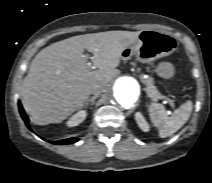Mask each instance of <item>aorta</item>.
<instances>
[{
	"instance_id": "762f6f07",
	"label": "aorta",
	"mask_w": 212,
	"mask_h": 183,
	"mask_svg": "<svg viewBox=\"0 0 212 183\" xmlns=\"http://www.w3.org/2000/svg\"><path fill=\"white\" fill-rule=\"evenodd\" d=\"M139 83L132 77L122 76L116 79L113 86V99L116 105L129 109L140 97Z\"/></svg>"
}]
</instances>
